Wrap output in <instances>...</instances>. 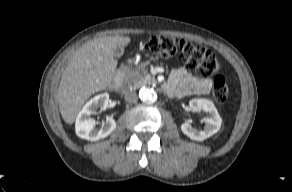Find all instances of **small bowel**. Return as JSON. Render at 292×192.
Returning a JSON list of instances; mask_svg holds the SVG:
<instances>
[{"mask_svg":"<svg viewBox=\"0 0 292 192\" xmlns=\"http://www.w3.org/2000/svg\"><path fill=\"white\" fill-rule=\"evenodd\" d=\"M211 85V79L196 77L186 68L180 67L171 73L165 90L170 96L184 97L193 94H206L210 91Z\"/></svg>","mask_w":292,"mask_h":192,"instance_id":"c3829d8e","label":"small bowel"}]
</instances>
